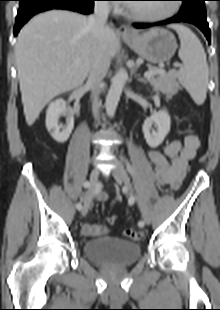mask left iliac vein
<instances>
[{
  "mask_svg": "<svg viewBox=\"0 0 220 310\" xmlns=\"http://www.w3.org/2000/svg\"><path fill=\"white\" fill-rule=\"evenodd\" d=\"M113 175L117 180H120L123 182L125 188L129 191V193L131 195H135V191H134V188L132 186L131 180H130V178H129V176H128V174H127V172H126V170H125V168L121 162L116 163V167L113 170ZM135 198L137 199L138 206L142 212V217H143L144 223L149 225L150 219H149L148 214L146 213L142 203L138 200L136 195H135Z\"/></svg>",
  "mask_w": 220,
  "mask_h": 310,
  "instance_id": "4c4485c4",
  "label": "left iliac vein"
}]
</instances>
